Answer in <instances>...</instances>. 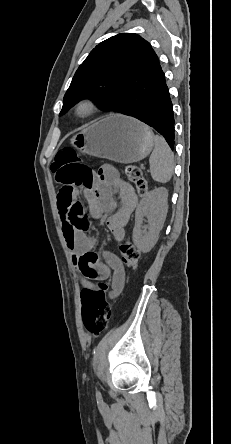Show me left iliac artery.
Listing matches in <instances>:
<instances>
[{
    "instance_id": "obj_1",
    "label": "left iliac artery",
    "mask_w": 231,
    "mask_h": 444,
    "mask_svg": "<svg viewBox=\"0 0 231 444\" xmlns=\"http://www.w3.org/2000/svg\"><path fill=\"white\" fill-rule=\"evenodd\" d=\"M97 395H100V392H99V391H97Z\"/></svg>"
}]
</instances>
